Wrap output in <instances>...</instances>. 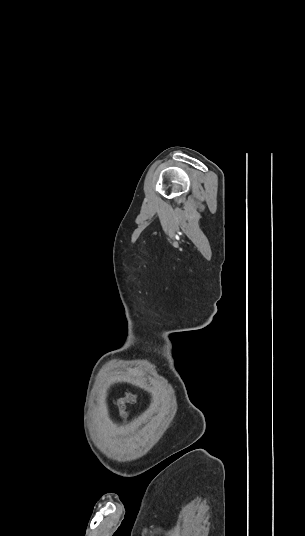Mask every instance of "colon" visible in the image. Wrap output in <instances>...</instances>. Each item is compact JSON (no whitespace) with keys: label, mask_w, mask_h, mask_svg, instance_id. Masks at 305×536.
Returning a JSON list of instances; mask_svg holds the SVG:
<instances>
[{"label":"colon","mask_w":305,"mask_h":536,"mask_svg":"<svg viewBox=\"0 0 305 536\" xmlns=\"http://www.w3.org/2000/svg\"><path fill=\"white\" fill-rule=\"evenodd\" d=\"M137 398L135 392H127L124 396L116 400V405L119 411L121 418L125 416V407L128 403L133 402Z\"/></svg>","instance_id":"1"}]
</instances>
